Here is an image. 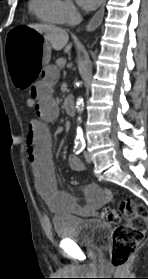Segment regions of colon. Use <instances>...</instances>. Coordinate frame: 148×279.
<instances>
[{"label":"colon","mask_w":148,"mask_h":279,"mask_svg":"<svg viewBox=\"0 0 148 279\" xmlns=\"http://www.w3.org/2000/svg\"><path fill=\"white\" fill-rule=\"evenodd\" d=\"M36 105V98L29 95L26 106L35 109ZM100 216L104 221L117 225L111 240V262L116 267L123 266L130 260L148 229V210L127 199L116 209H104Z\"/></svg>","instance_id":"1"}]
</instances>
